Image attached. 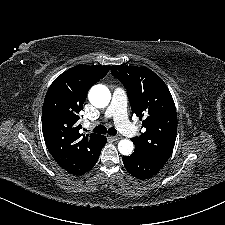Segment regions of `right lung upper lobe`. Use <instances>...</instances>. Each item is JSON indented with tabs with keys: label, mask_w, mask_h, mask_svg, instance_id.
<instances>
[{
	"label": "right lung upper lobe",
	"mask_w": 225,
	"mask_h": 225,
	"mask_svg": "<svg viewBox=\"0 0 225 225\" xmlns=\"http://www.w3.org/2000/svg\"><path fill=\"white\" fill-rule=\"evenodd\" d=\"M110 66H74L50 85L43 103L42 131L46 146L60 167L83 175L96 164L106 137L83 135L78 113L90 87L102 79Z\"/></svg>",
	"instance_id": "right-lung-upper-lobe-1"
}]
</instances>
